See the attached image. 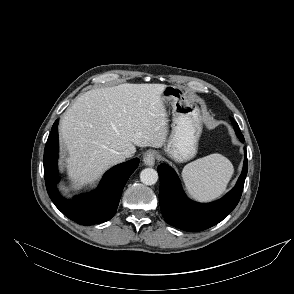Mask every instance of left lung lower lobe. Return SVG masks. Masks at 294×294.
<instances>
[{
	"mask_svg": "<svg viewBox=\"0 0 294 294\" xmlns=\"http://www.w3.org/2000/svg\"><path fill=\"white\" fill-rule=\"evenodd\" d=\"M237 137H244L236 121L231 118ZM248 170L245 150L244 166L235 187L218 201L201 204L188 199L181 187L175 171L165 164L158 166L160 178L159 201L166 222L179 229L197 232L208 229L222 221L238 204Z\"/></svg>",
	"mask_w": 294,
	"mask_h": 294,
	"instance_id": "1",
	"label": "left lung lower lobe"
}]
</instances>
